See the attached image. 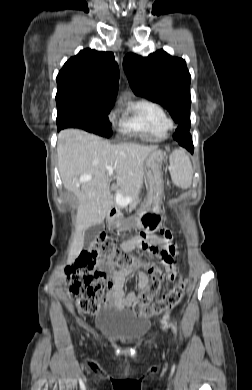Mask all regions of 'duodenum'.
<instances>
[{"instance_id": "1", "label": "duodenum", "mask_w": 252, "mask_h": 390, "mask_svg": "<svg viewBox=\"0 0 252 390\" xmlns=\"http://www.w3.org/2000/svg\"><path fill=\"white\" fill-rule=\"evenodd\" d=\"M108 218L110 225H115L117 219H118V211L115 207H112L108 211Z\"/></svg>"}]
</instances>
